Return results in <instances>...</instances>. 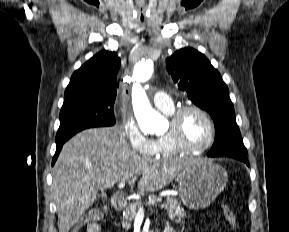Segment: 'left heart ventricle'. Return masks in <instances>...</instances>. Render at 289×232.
<instances>
[{
	"instance_id": "1",
	"label": "left heart ventricle",
	"mask_w": 289,
	"mask_h": 232,
	"mask_svg": "<svg viewBox=\"0 0 289 232\" xmlns=\"http://www.w3.org/2000/svg\"><path fill=\"white\" fill-rule=\"evenodd\" d=\"M181 134L185 143L196 147L207 141L209 127L202 115L196 111H188L181 120Z\"/></svg>"
}]
</instances>
